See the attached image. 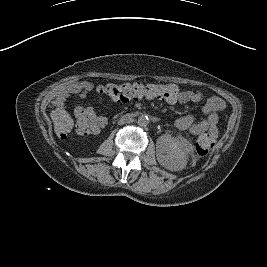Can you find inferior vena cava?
I'll list each match as a JSON object with an SVG mask.
<instances>
[{"mask_svg":"<svg viewBox=\"0 0 267 267\" xmlns=\"http://www.w3.org/2000/svg\"><path fill=\"white\" fill-rule=\"evenodd\" d=\"M133 120L131 119V118H122V119H120L119 121H118V124L119 125H123V124H125V123H130V122H132Z\"/></svg>","mask_w":267,"mask_h":267,"instance_id":"obj_1","label":"inferior vena cava"}]
</instances>
